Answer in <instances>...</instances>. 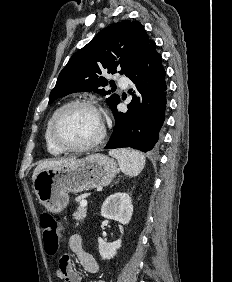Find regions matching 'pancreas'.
<instances>
[{
	"instance_id": "cf45deb5",
	"label": "pancreas",
	"mask_w": 232,
	"mask_h": 282,
	"mask_svg": "<svg viewBox=\"0 0 232 282\" xmlns=\"http://www.w3.org/2000/svg\"><path fill=\"white\" fill-rule=\"evenodd\" d=\"M87 209L85 207H79L77 211L73 214L74 219L78 221H83L86 217Z\"/></svg>"
}]
</instances>
